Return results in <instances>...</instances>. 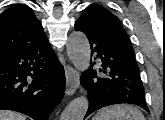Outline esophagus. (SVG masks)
I'll use <instances>...</instances> for the list:
<instances>
[{
  "label": "esophagus",
  "instance_id": "34e87169",
  "mask_svg": "<svg viewBox=\"0 0 165 120\" xmlns=\"http://www.w3.org/2000/svg\"><path fill=\"white\" fill-rule=\"evenodd\" d=\"M66 75V93L67 95H73L79 86V73L71 66H67L65 69Z\"/></svg>",
  "mask_w": 165,
  "mask_h": 120
}]
</instances>
